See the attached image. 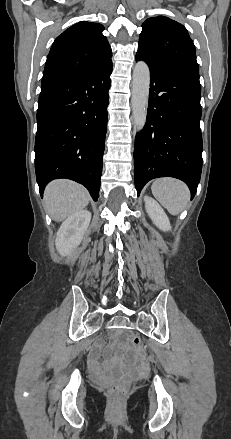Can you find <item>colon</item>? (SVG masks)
Returning a JSON list of instances; mask_svg holds the SVG:
<instances>
[{"mask_svg":"<svg viewBox=\"0 0 231 439\" xmlns=\"http://www.w3.org/2000/svg\"><path fill=\"white\" fill-rule=\"evenodd\" d=\"M131 344L134 347H141L142 340L139 335L133 334L130 337ZM127 382L124 379L112 378L109 383V393L113 400H120L126 394Z\"/></svg>","mask_w":231,"mask_h":439,"instance_id":"5ec220e1","label":"colon"}]
</instances>
